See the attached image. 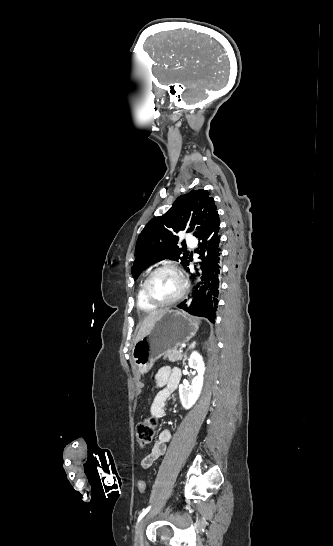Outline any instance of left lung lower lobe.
I'll list each match as a JSON object with an SVG mask.
<instances>
[{
    "label": "left lung lower lobe",
    "instance_id": "left-lung-lower-lobe-1",
    "mask_svg": "<svg viewBox=\"0 0 333 546\" xmlns=\"http://www.w3.org/2000/svg\"><path fill=\"white\" fill-rule=\"evenodd\" d=\"M220 220L219 215H215L212 222L197 237L202 241L201 269L203 272L201 282L195 286L192 300L183 301L177 307L196 316L206 317L214 323L216 310L218 307V296L220 288ZM189 271V269H187Z\"/></svg>",
    "mask_w": 333,
    "mask_h": 546
}]
</instances>
